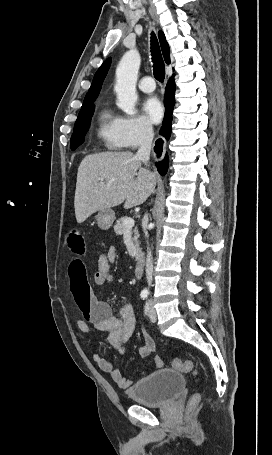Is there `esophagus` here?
<instances>
[{"label": "esophagus", "instance_id": "1", "mask_svg": "<svg viewBox=\"0 0 272 455\" xmlns=\"http://www.w3.org/2000/svg\"><path fill=\"white\" fill-rule=\"evenodd\" d=\"M162 146H163V141L161 139L157 140L154 150L158 156H160L162 153V150H163ZM156 158H158V157H156Z\"/></svg>", "mask_w": 272, "mask_h": 455}]
</instances>
